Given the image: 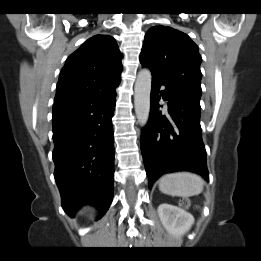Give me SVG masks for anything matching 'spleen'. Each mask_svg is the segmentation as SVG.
Returning <instances> with one entry per match:
<instances>
[{"instance_id":"spleen-1","label":"spleen","mask_w":261,"mask_h":261,"mask_svg":"<svg viewBox=\"0 0 261 261\" xmlns=\"http://www.w3.org/2000/svg\"><path fill=\"white\" fill-rule=\"evenodd\" d=\"M204 180L190 172H176L162 176L159 180V190L171 196L190 197L203 191Z\"/></svg>"}]
</instances>
